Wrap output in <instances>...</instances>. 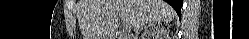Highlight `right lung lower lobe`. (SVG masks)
I'll list each match as a JSON object with an SVG mask.
<instances>
[{
    "label": "right lung lower lobe",
    "instance_id": "98d812e1",
    "mask_svg": "<svg viewBox=\"0 0 249 39\" xmlns=\"http://www.w3.org/2000/svg\"><path fill=\"white\" fill-rule=\"evenodd\" d=\"M178 13V15H181V8L183 5V0H166Z\"/></svg>",
    "mask_w": 249,
    "mask_h": 39
}]
</instances>
